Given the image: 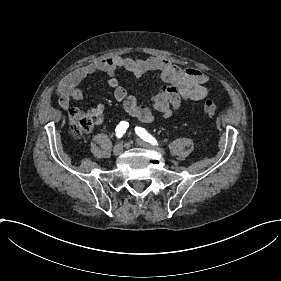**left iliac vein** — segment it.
Segmentation results:
<instances>
[{"instance_id":"1","label":"left iliac vein","mask_w":281,"mask_h":281,"mask_svg":"<svg viewBox=\"0 0 281 281\" xmlns=\"http://www.w3.org/2000/svg\"><path fill=\"white\" fill-rule=\"evenodd\" d=\"M137 145H139V146H143V148H147V149H152V150H156L158 153L160 152V153H164V150L163 149H159V148H157L155 145H152V144H148L147 142H145V141H142V140H140V138H139V140H137Z\"/></svg>"}]
</instances>
